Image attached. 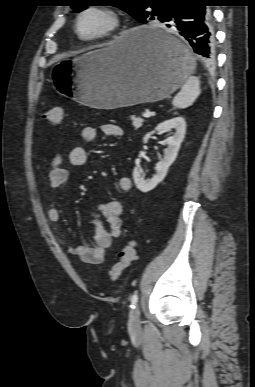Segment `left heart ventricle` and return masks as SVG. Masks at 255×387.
Here are the masks:
<instances>
[{"label":"left heart ventricle","mask_w":255,"mask_h":387,"mask_svg":"<svg viewBox=\"0 0 255 387\" xmlns=\"http://www.w3.org/2000/svg\"><path fill=\"white\" fill-rule=\"evenodd\" d=\"M105 20L96 14H88L81 21V30L84 34L90 35L103 27Z\"/></svg>","instance_id":"left-heart-ventricle-1"}]
</instances>
